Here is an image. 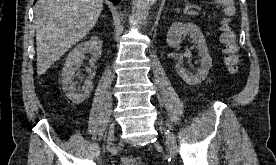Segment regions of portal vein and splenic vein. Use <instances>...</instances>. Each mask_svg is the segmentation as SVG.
<instances>
[{
    "label": "portal vein and splenic vein",
    "mask_w": 276,
    "mask_h": 165,
    "mask_svg": "<svg viewBox=\"0 0 276 165\" xmlns=\"http://www.w3.org/2000/svg\"><path fill=\"white\" fill-rule=\"evenodd\" d=\"M190 8H192V7H190ZM190 13H191V14H196L197 12H196V11L191 10V11H190Z\"/></svg>",
    "instance_id": "18ae733b"
}]
</instances>
